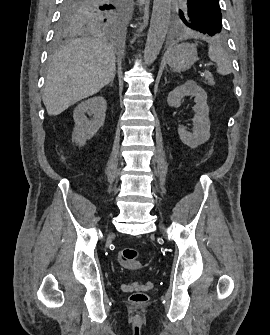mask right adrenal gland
<instances>
[{
    "label": "right adrenal gland",
    "mask_w": 270,
    "mask_h": 335,
    "mask_svg": "<svg viewBox=\"0 0 270 335\" xmlns=\"http://www.w3.org/2000/svg\"><path fill=\"white\" fill-rule=\"evenodd\" d=\"M112 84H113V80H111V82H110L109 86H112Z\"/></svg>",
    "instance_id": "obj_1"
}]
</instances>
